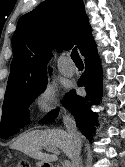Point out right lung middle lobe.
Instances as JSON below:
<instances>
[{"label": "right lung middle lobe", "instance_id": "right-lung-middle-lobe-1", "mask_svg": "<svg viewBox=\"0 0 125 167\" xmlns=\"http://www.w3.org/2000/svg\"><path fill=\"white\" fill-rule=\"evenodd\" d=\"M47 82L16 97L4 99L0 124V137L7 138L19 132L29 122L28 107L44 91Z\"/></svg>", "mask_w": 125, "mask_h": 167}]
</instances>
